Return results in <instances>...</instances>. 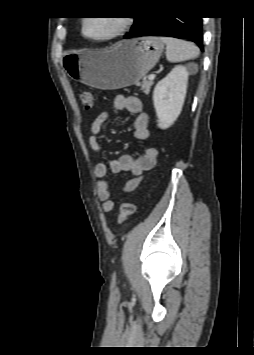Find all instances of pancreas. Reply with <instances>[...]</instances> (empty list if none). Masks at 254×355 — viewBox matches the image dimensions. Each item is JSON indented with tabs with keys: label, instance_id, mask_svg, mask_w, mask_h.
<instances>
[{
	"label": "pancreas",
	"instance_id": "1",
	"mask_svg": "<svg viewBox=\"0 0 254 355\" xmlns=\"http://www.w3.org/2000/svg\"><path fill=\"white\" fill-rule=\"evenodd\" d=\"M154 84V82L152 80L149 81H143L142 84H140L141 86V90L143 91V93H145L146 95H148L150 93V89L152 87V85Z\"/></svg>",
	"mask_w": 254,
	"mask_h": 355
}]
</instances>
